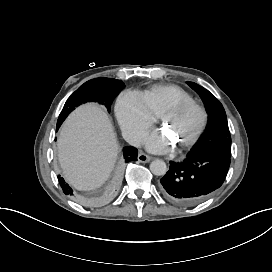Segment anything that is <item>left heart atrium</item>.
Instances as JSON below:
<instances>
[{
	"instance_id": "left-heart-atrium-1",
	"label": "left heart atrium",
	"mask_w": 272,
	"mask_h": 272,
	"mask_svg": "<svg viewBox=\"0 0 272 272\" xmlns=\"http://www.w3.org/2000/svg\"><path fill=\"white\" fill-rule=\"evenodd\" d=\"M147 147L154 152L162 153L169 150V137L160 131H153L146 139Z\"/></svg>"
}]
</instances>
